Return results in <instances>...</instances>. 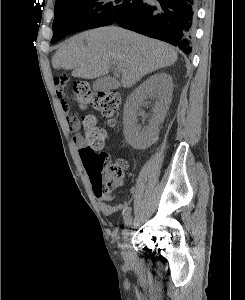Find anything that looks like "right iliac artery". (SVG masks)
<instances>
[{"label": "right iliac artery", "instance_id": "right-iliac-artery-1", "mask_svg": "<svg viewBox=\"0 0 245 300\" xmlns=\"http://www.w3.org/2000/svg\"><path fill=\"white\" fill-rule=\"evenodd\" d=\"M130 213H131V208L130 207L123 211L124 220H126L130 216Z\"/></svg>", "mask_w": 245, "mask_h": 300}]
</instances>
